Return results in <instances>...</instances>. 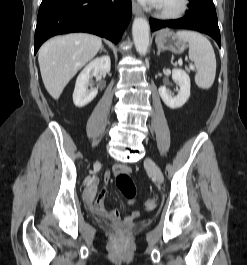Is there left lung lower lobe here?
I'll return each instance as SVG.
<instances>
[{"instance_id":"left-lung-lower-lobe-1","label":"left lung lower lobe","mask_w":247,"mask_h":265,"mask_svg":"<svg viewBox=\"0 0 247 265\" xmlns=\"http://www.w3.org/2000/svg\"><path fill=\"white\" fill-rule=\"evenodd\" d=\"M189 11L187 14L177 20L160 21L150 18V26L152 31L160 28H186L197 30L210 35L215 39L219 47H221L220 31L212 0H189Z\"/></svg>"}]
</instances>
